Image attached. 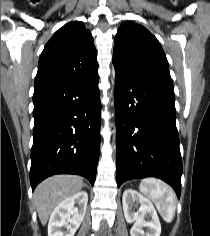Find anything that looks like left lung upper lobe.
I'll return each instance as SVG.
<instances>
[{"label":"left lung upper lobe","instance_id":"1","mask_svg":"<svg viewBox=\"0 0 210 236\" xmlns=\"http://www.w3.org/2000/svg\"><path fill=\"white\" fill-rule=\"evenodd\" d=\"M113 64L120 75L173 86L168 61L159 41L146 28L132 21L118 29Z\"/></svg>","mask_w":210,"mask_h":236}]
</instances>
